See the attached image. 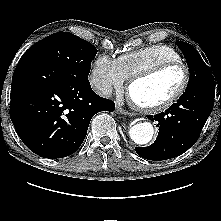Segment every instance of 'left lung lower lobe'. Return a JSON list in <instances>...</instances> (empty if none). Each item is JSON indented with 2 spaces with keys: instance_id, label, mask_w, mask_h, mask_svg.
Instances as JSON below:
<instances>
[{
  "instance_id": "left-lung-lower-lobe-1",
  "label": "left lung lower lobe",
  "mask_w": 221,
  "mask_h": 221,
  "mask_svg": "<svg viewBox=\"0 0 221 221\" xmlns=\"http://www.w3.org/2000/svg\"><path fill=\"white\" fill-rule=\"evenodd\" d=\"M215 86L209 81L186 90L165 112L148 115L158 122V136L150 146L136 147L137 154L148 160H166L192 147L213 109Z\"/></svg>"
}]
</instances>
